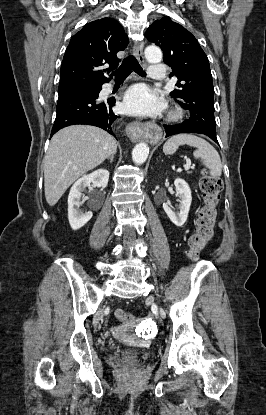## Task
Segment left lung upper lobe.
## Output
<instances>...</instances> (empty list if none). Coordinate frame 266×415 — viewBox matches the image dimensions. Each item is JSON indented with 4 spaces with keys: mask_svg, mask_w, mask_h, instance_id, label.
Instances as JSON below:
<instances>
[{
    "mask_svg": "<svg viewBox=\"0 0 266 415\" xmlns=\"http://www.w3.org/2000/svg\"><path fill=\"white\" fill-rule=\"evenodd\" d=\"M146 38L164 51V63L178 78L177 89L170 95L191 116L186 121L201 130L216 133L214 88L209 60L196 38L169 17L156 20L146 31Z\"/></svg>",
    "mask_w": 266,
    "mask_h": 415,
    "instance_id": "obj_1",
    "label": "left lung upper lobe"
}]
</instances>
